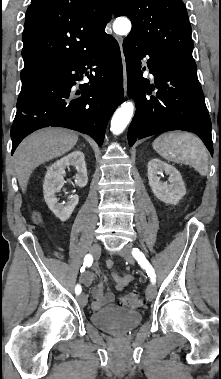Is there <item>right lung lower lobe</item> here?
I'll list each match as a JSON object with an SVG mask.
<instances>
[{
	"mask_svg": "<svg viewBox=\"0 0 221 379\" xmlns=\"http://www.w3.org/2000/svg\"><path fill=\"white\" fill-rule=\"evenodd\" d=\"M84 76L89 82L73 89ZM21 80L11 154L28 134L49 126L88 134L101 146L108 120L123 99L119 45L108 35L89 52L40 68Z\"/></svg>",
	"mask_w": 221,
	"mask_h": 379,
	"instance_id": "98d812e1",
	"label": "right lung lower lobe"
}]
</instances>
